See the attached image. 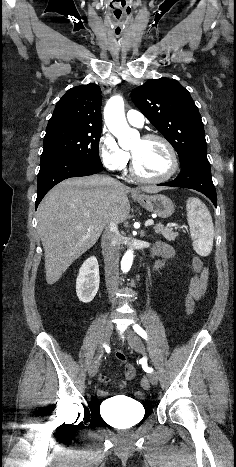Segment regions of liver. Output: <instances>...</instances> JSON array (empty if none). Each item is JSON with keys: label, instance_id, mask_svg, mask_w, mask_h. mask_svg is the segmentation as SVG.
I'll return each instance as SVG.
<instances>
[{"label": "liver", "instance_id": "liver-1", "mask_svg": "<svg viewBox=\"0 0 236 467\" xmlns=\"http://www.w3.org/2000/svg\"><path fill=\"white\" fill-rule=\"evenodd\" d=\"M139 189L157 193L164 188ZM132 191L112 178L92 175L66 179L46 194L37 210V222L49 285L97 242L106 226L129 217L127 194Z\"/></svg>", "mask_w": 236, "mask_h": 467}]
</instances>
